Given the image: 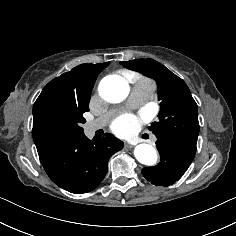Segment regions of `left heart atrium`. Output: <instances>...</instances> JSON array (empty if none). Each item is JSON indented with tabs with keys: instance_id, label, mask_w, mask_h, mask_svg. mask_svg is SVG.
Instances as JSON below:
<instances>
[{
	"instance_id": "39dd6f15",
	"label": "left heart atrium",
	"mask_w": 236,
	"mask_h": 236,
	"mask_svg": "<svg viewBox=\"0 0 236 236\" xmlns=\"http://www.w3.org/2000/svg\"><path fill=\"white\" fill-rule=\"evenodd\" d=\"M140 119L132 114H125L118 117L112 123V130L120 136H130L139 127Z\"/></svg>"
}]
</instances>
